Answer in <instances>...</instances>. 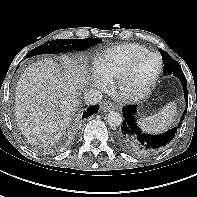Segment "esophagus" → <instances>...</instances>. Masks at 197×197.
<instances>
[{
  "label": "esophagus",
  "instance_id": "34e87169",
  "mask_svg": "<svg viewBox=\"0 0 197 197\" xmlns=\"http://www.w3.org/2000/svg\"><path fill=\"white\" fill-rule=\"evenodd\" d=\"M115 108H116L115 105L112 102H110V101H105L101 105V109L104 112H108V111L114 110Z\"/></svg>",
  "mask_w": 197,
  "mask_h": 197
}]
</instances>
